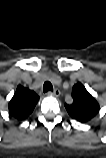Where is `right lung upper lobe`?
I'll list each match as a JSON object with an SVG mask.
<instances>
[{
    "label": "right lung upper lobe",
    "instance_id": "obj_1",
    "mask_svg": "<svg viewBox=\"0 0 106 158\" xmlns=\"http://www.w3.org/2000/svg\"><path fill=\"white\" fill-rule=\"evenodd\" d=\"M38 100L39 97L34 91L19 85L8 105L10 116L17 120L26 119L32 113Z\"/></svg>",
    "mask_w": 106,
    "mask_h": 158
}]
</instances>
